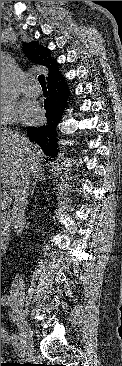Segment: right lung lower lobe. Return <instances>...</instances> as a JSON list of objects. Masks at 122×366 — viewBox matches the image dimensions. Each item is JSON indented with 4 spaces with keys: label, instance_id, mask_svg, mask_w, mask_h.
Returning <instances> with one entry per match:
<instances>
[{
    "label": "right lung lower lobe",
    "instance_id": "1",
    "mask_svg": "<svg viewBox=\"0 0 122 366\" xmlns=\"http://www.w3.org/2000/svg\"><path fill=\"white\" fill-rule=\"evenodd\" d=\"M61 78L62 76L48 83L49 96L44 103L47 118L46 124L39 128H27L29 139L38 143L46 155L52 158L60 152L57 144V125L61 121L62 113L67 103V86L60 81Z\"/></svg>",
    "mask_w": 122,
    "mask_h": 366
}]
</instances>
